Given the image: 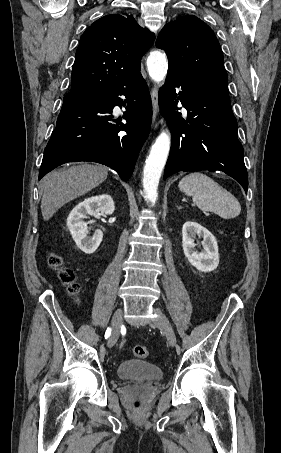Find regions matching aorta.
I'll list each match as a JSON object with an SVG mask.
<instances>
[{
    "label": "aorta",
    "mask_w": 281,
    "mask_h": 453,
    "mask_svg": "<svg viewBox=\"0 0 281 453\" xmlns=\"http://www.w3.org/2000/svg\"><path fill=\"white\" fill-rule=\"evenodd\" d=\"M147 68L151 79L160 84L168 69L167 57L160 51H153L147 58ZM171 145L170 134L163 130L151 147L143 171V188L146 200L155 203L158 198V184L165 166Z\"/></svg>",
    "instance_id": "aorta-1"
}]
</instances>
